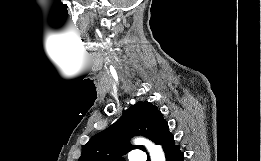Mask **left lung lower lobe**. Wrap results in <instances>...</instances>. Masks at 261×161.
Instances as JSON below:
<instances>
[{"label":"left lung lower lobe","instance_id":"1","mask_svg":"<svg viewBox=\"0 0 261 161\" xmlns=\"http://www.w3.org/2000/svg\"><path fill=\"white\" fill-rule=\"evenodd\" d=\"M159 145L163 147L166 161H183V152L180 151L179 145L174 143V137L172 134L168 135Z\"/></svg>","mask_w":261,"mask_h":161}]
</instances>
